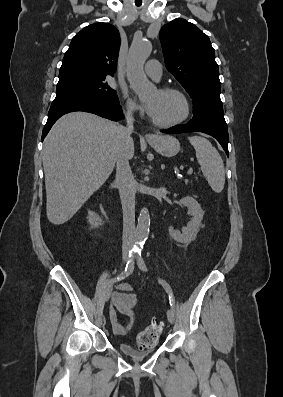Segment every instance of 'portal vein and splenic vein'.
<instances>
[{
  "mask_svg": "<svg viewBox=\"0 0 283 397\" xmlns=\"http://www.w3.org/2000/svg\"><path fill=\"white\" fill-rule=\"evenodd\" d=\"M192 173H193V169L190 168V169L187 171V174L189 175V174H192Z\"/></svg>",
  "mask_w": 283,
  "mask_h": 397,
  "instance_id": "1",
  "label": "portal vein and splenic vein"
}]
</instances>
